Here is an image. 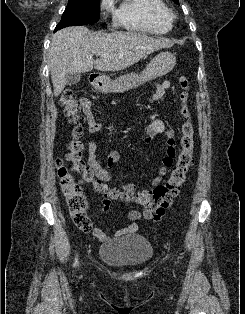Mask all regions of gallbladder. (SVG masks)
Wrapping results in <instances>:
<instances>
[{
	"instance_id": "obj_1",
	"label": "gallbladder",
	"mask_w": 245,
	"mask_h": 314,
	"mask_svg": "<svg viewBox=\"0 0 245 314\" xmlns=\"http://www.w3.org/2000/svg\"><path fill=\"white\" fill-rule=\"evenodd\" d=\"M81 79V74L80 73H70L66 76V83L67 85H75L77 84Z\"/></svg>"
}]
</instances>
